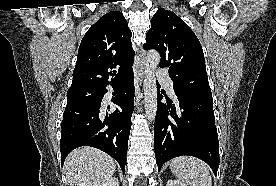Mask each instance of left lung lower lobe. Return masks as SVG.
<instances>
[{
  "label": "left lung lower lobe",
  "mask_w": 276,
  "mask_h": 186,
  "mask_svg": "<svg viewBox=\"0 0 276 186\" xmlns=\"http://www.w3.org/2000/svg\"><path fill=\"white\" fill-rule=\"evenodd\" d=\"M176 96L178 106L161 103L163 95L158 92L157 96L154 149L158 171L164 162L189 155L206 162L216 175L220 159L212 97Z\"/></svg>",
  "instance_id": "1"
}]
</instances>
